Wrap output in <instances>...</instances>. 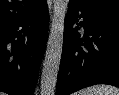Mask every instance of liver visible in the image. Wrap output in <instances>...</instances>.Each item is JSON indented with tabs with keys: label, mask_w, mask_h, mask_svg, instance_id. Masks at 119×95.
Returning a JSON list of instances; mask_svg holds the SVG:
<instances>
[{
	"label": "liver",
	"mask_w": 119,
	"mask_h": 95,
	"mask_svg": "<svg viewBox=\"0 0 119 95\" xmlns=\"http://www.w3.org/2000/svg\"><path fill=\"white\" fill-rule=\"evenodd\" d=\"M0 95H4L2 92H0Z\"/></svg>",
	"instance_id": "obj_1"
}]
</instances>
